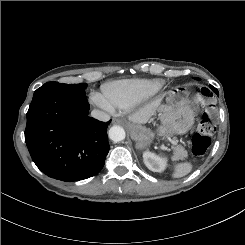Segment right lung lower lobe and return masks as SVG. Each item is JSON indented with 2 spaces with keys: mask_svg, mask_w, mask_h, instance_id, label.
Here are the masks:
<instances>
[{
  "mask_svg": "<svg viewBox=\"0 0 245 245\" xmlns=\"http://www.w3.org/2000/svg\"><path fill=\"white\" fill-rule=\"evenodd\" d=\"M85 93L48 91L27 112L25 141L37 167L67 182L98 174L109 152L107 127L88 116Z\"/></svg>",
  "mask_w": 245,
  "mask_h": 245,
  "instance_id": "obj_1",
  "label": "right lung lower lobe"
}]
</instances>
